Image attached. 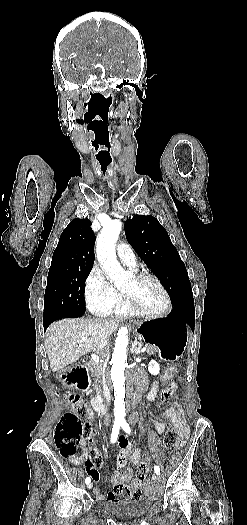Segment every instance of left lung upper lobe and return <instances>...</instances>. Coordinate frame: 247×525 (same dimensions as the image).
I'll return each mask as SVG.
<instances>
[{"mask_svg": "<svg viewBox=\"0 0 247 525\" xmlns=\"http://www.w3.org/2000/svg\"><path fill=\"white\" fill-rule=\"evenodd\" d=\"M124 228L127 241L162 282L173 306L194 304L185 264L159 221L151 215H135Z\"/></svg>", "mask_w": 247, "mask_h": 525, "instance_id": "obj_1", "label": "left lung upper lobe"}]
</instances>
